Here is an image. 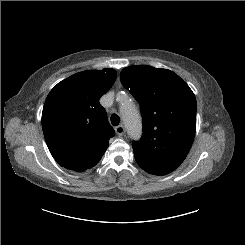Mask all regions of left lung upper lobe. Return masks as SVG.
I'll list each match as a JSON object with an SVG mask.
<instances>
[{
    "mask_svg": "<svg viewBox=\"0 0 245 245\" xmlns=\"http://www.w3.org/2000/svg\"><path fill=\"white\" fill-rule=\"evenodd\" d=\"M121 83L141 106L143 135L133 142L136 162L145 168L175 170L195 136L196 99L174 72L147 65L122 70Z\"/></svg>",
    "mask_w": 245,
    "mask_h": 245,
    "instance_id": "obj_1",
    "label": "left lung upper lobe"
}]
</instances>
